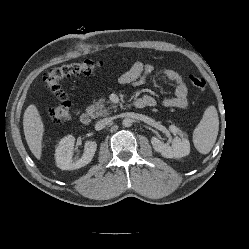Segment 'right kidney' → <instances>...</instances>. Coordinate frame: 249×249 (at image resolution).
Instances as JSON below:
<instances>
[{
	"label": "right kidney",
	"instance_id": "right-kidney-1",
	"mask_svg": "<svg viewBox=\"0 0 249 249\" xmlns=\"http://www.w3.org/2000/svg\"><path fill=\"white\" fill-rule=\"evenodd\" d=\"M75 138L72 135L66 136L59 142L55 151L57 166L62 170H75L89 164L96 152L97 143L95 141H86L84 153L78 160H73V146Z\"/></svg>",
	"mask_w": 249,
	"mask_h": 249
}]
</instances>
